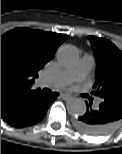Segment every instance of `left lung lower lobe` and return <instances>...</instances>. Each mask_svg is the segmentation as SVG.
<instances>
[{
    "mask_svg": "<svg viewBox=\"0 0 122 154\" xmlns=\"http://www.w3.org/2000/svg\"><path fill=\"white\" fill-rule=\"evenodd\" d=\"M87 106V111L74 121L75 127L89 135H103L122 120V91L105 95L96 108Z\"/></svg>",
    "mask_w": 122,
    "mask_h": 154,
    "instance_id": "1",
    "label": "left lung lower lobe"
}]
</instances>
